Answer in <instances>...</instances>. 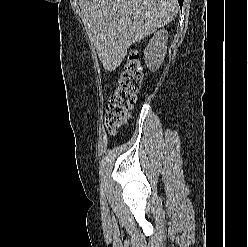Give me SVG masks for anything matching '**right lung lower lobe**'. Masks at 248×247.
<instances>
[{"mask_svg":"<svg viewBox=\"0 0 248 247\" xmlns=\"http://www.w3.org/2000/svg\"><path fill=\"white\" fill-rule=\"evenodd\" d=\"M180 7H182L183 0H178Z\"/></svg>","mask_w":248,"mask_h":247,"instance_id":"98d812e1","label":"right lung lower lobe"}]
</instances>
